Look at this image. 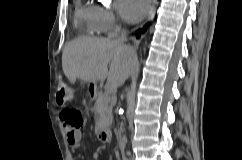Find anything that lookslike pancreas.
<instances>
[{
    "instance_id": "cf45deb5",
    "label": "pancreas",
    "mask_w": 242,
    "mask_h": 160,
    "mask_svg": "<svg viewBox=\"0 0 242 160\" xmlns=\"http://www.w3.org/2000/svg\"><path fill=\"white\" fill-rule=\"evenodd\" d=\"M95 114V133L98 134L103 128L112 123V105L110 98L105 99L104 95L95 97V106L93 107Z\"/></svg>"
}]
</instances>
